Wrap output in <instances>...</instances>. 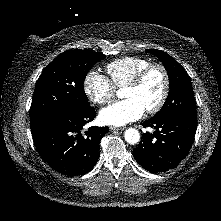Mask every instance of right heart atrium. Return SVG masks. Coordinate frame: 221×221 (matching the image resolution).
I'll use <instances>...</instances> for the list:
<instances>
[{"label": "right heart atrium", "instance_id": "d8ad5b80", "mask_svg": "<svg viewBox=\"0 0 221 221\" xmlns=\"http://www.w3.org/2000/svg\"><path fill=\"white\" fill-rule=\"evenodd\" d=\"M83 89L87 98L97 105L111 102L116 93V87L111 80L96 70L87 73Z\"/></svg>", "mask_w": 221, "mask_h": 221}]
</instances>
